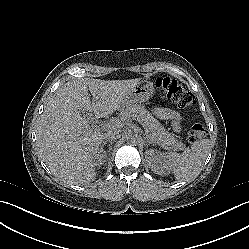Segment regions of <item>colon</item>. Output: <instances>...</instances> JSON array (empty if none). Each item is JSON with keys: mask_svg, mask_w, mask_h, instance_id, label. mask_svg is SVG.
<instances>
[{"mask_svg": "<svg viewBox=\"0 0 249 249\" xmlns=\"http://www.w3.org/2000/svg\"><path fill=\"white\" fill-rule=\"evenodd\" d=\"M155 85L179 108L187 109L195 103V96L175 79L169 77L158 78ZM205 134L204 127L196 124L188 132V139L194 142L205 136Z\"/></svg>", "mask_w": 249, "mask_h": 249, "instance_id": "colon-1", "label": "colon"}]
</instances>
